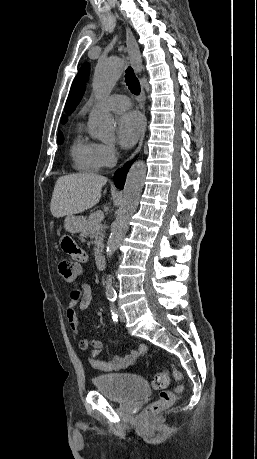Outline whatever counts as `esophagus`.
<instances>
[{
	"label": "esophagus",
	"mask_w": 257,
	"mask_h": 459,
	"mask_svg": "<svg viewBox=\"0 0 257 459\" xmlns=\"http://www.w3.org/2000/svg\"><path fill=\"white\" fill-rule=\"evenodd\" d=\"M125 32H126V46H127L128 57L130 59V62L132 64L135 72L139 76H141V73H142V59H141L140 51H139V48H138V45H137V42H136V38H135L133 32L131 31V29L128 26H126ZM141 98H142L143 103H145V91H144L143 87H142V91H141ZM146 128H147V118L145 117L139 144H138L136 150L134 151V153L132 154V156L130 157V160L132 158H134L141 151V148H142V145H143V141H144V137H145V133H146Z\"/></svg>",
	"instance_id": "34e87169"
}]
</instances>
